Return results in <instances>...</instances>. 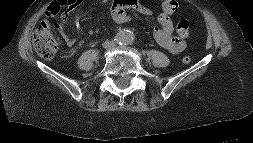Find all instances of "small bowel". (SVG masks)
I'll return each instance as SVG.
<instances>
[{
    "instance_id": "small-bowel-1",
    "label": "small bowel",
    "mask_w": 253,
    "mask_h": 143,
    "mask_svg": "<svg viewBox=\"0 0 253 143\" xmlns=\"http://www.w3.org/2000/svg\"><path fill=\"white\" fill-rule=\"evenodd\" d=\"M96 3L105 4L110 2V17L114 24L121 25L130 20L127 10H133L141 15H152L150 7L139 0H93ZM161 11L157 15L158 26L154 29V38L156 42L171 54H179L186 47V38L175 36L173 34V22L170 15L176 9V3L173 0H160ZM47 15L52 17L49 12ZM65 14H61L58 23L55 25L62 39L67 46L72 47L75 44V38L70 35L66 28Z\"/></svg>"
}]
</instances>
